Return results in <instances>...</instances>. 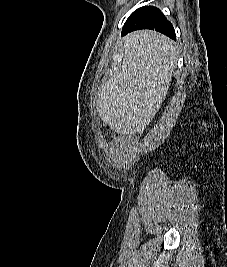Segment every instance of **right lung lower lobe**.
<instances>
[{
	"instance_id": "1",
	"label": "right lung lower lobe",
	"mask_w": 227,
	"mask_h": 267,
	"mask_svg": "<svg viewBox=\"0 0 227 267\" xmlns=\"http://www.w3.org/2000/svg\"><path fill=\"white\" fill-rule=\"evenodd\" d=\"M139 29H151L176 40L174 28L156 7L145 6L135 10L125 22L122 35Z\"/></svg>"
}]
</instances>
